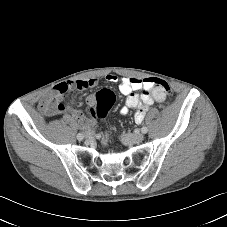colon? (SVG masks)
I'll list each match as a JSON object with an SVG mask.
<instances>
[{
    "mask_svg": "<svg viewBox=\"0 0 227 227\" xmlns=\"http://www.w3.org/2000/svg\"><path fill=\"white\" fill-rule=\"evenodd\" d=\"M152 86H159L165 93H170L169 85L157 77L150 79ZM115 102V95L109 89H102L95 95L94 103L90 109L91 115L95 118H104Z\"/></svg>",
    "mask_w": 227,
    "mask_h": 227,
    "instance_id": "obj_1",
    "label": "colon"
}]
</instances>
